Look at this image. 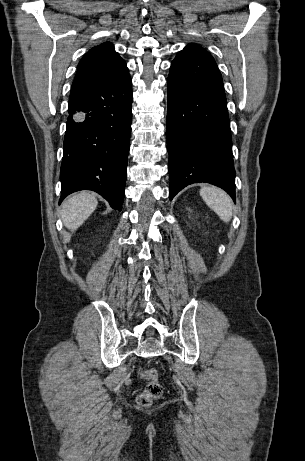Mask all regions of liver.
<instances>
[{
  "mask_svg": "<svg viewBox=\"0 0 305 461\" xmlns=\"http://www.w3.org/2000/svg\"><path fill=\"white\" fill-rule=\"evenodd\" d=\"M97 199L89 192H80L65 200L61 217L64 225L71 231L77 230L94 212Z\"/></svg>",
  "mask_w": 305,
  "mask_h": 461,
  "instance_id": "6515ba94",
  "label": "liver"
}]
</instances>
